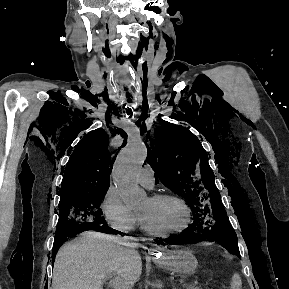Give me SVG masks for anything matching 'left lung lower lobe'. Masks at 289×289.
<instances>
[{"instance_id": "obj_1", "label": "left lung lower lobe", "mask_w": 289, "mask_h": 289, "mask_svg": "<svg viewBox=\"0 0 289 289\" xmlns=\"http://www.w3.org/2000/svg\"><path fill=\"white\" fill-rule=\"evenodd\" d=\"M202 238H211L215 240L213 230L208 227H196L191 225V227L185 229L181 234L167 238L165 242L170 245H184L195 243Z\"/></svg>"}]
</instances>
